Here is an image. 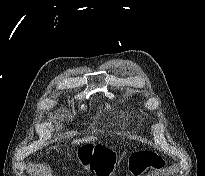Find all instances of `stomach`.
<instances>
[{
	"instance_id": "stomach-1",
	"label": "stomach",
	"mask_w": 205,
	"mask_h": 176,
	"mask_svg": "<svg viewBox=\"0 0 205 176\" xmlns=\"http://www.w3.org/2000/svg\"><path fill=\"white\" fill-rule=\"evenodd\" d=\"M87 145H88V144H87ZM90 147H91L92 149H94V148H96V145L93 144V145H91V146L86 147V149H88V148H90Z\"/></svg>"
}]
</instances>
